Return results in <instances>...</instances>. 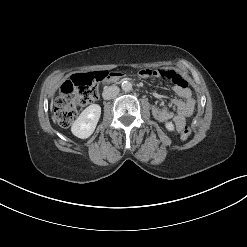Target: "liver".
<instances>
[{
	"mask_svg": "<svg viewBox=\"0 0 247 247\" xmlns=\"http://www.w3.org/2000/svg\"><path fill=\"white\" fill-rule=\"evenodd\" d=\"M52 104H53V103L50 104V108H52ZM52 119H53V121L55 122V118L52 117Z\"/></svg>",
	"mask_w": 247,
	"mask_h": 247,
	"instance_id": "6515ba94",
	"label": "liver"
}]
</instances>
